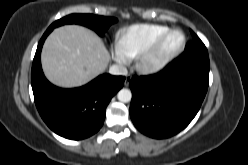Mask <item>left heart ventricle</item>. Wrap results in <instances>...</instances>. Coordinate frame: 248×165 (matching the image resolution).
I'll return each instance as SVG.
<instances>
[{"instance_id":"b2bd125f","label":"left heart ventricle","mask_w":248,"mask_h":165,"mask_svg":"<svg viewBox=\"0 0 248 165\" xmlns=\"http://www.w3.org/2000/svg\"><path fill=\"white\" fill-rule=\"evenodd\" d=\"M181 39L182 37L180 33H173L169 35L157 49L156 53L154 54V58H161L174 50L180 44Z\"/></svg>"}]
</instances>
